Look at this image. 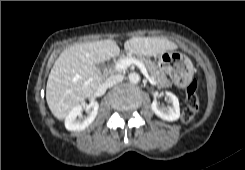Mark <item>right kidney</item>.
<instances>
[{
	"instance_id": "1",
	"label": "right kidney",
	"mask_w": 245,
	"mask_h": 170,
	"mask_svg": "<svg viewBox=\"0 0 245 170\" xmlns=\"http://www.w3.org/2000/svg\"><path fill=\"white\" fill-rule=\"evenodd\" d=\"M99 104L92 101L89 104L76 105L65 118V128L69 131H81L87 128L96 118ZM87 112L86 116H82V111Z\"/></svg>"
}]
</instances>
